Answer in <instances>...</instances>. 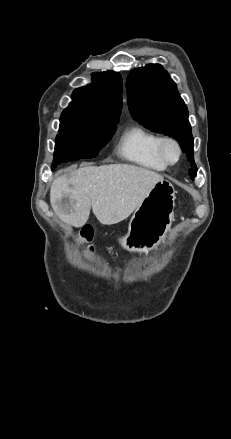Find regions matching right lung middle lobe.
I'll return each mask as SVG.
<instances>
[{"label": "right lung middle lobe", "instance_id": "obj_1", "mask_svg": "<svg viewBox=\"0 0 231 439\" xmlns=\"http://www.w3.org/2000/svg\"><path fill=\"white\" fill-rule=\"evenodd\" d=\"M116 129V125L87 118H60L52 170L60 163L96 157Z\"/></svg>", "mask_w": 231, "mask_h": 439}]
</instances>
